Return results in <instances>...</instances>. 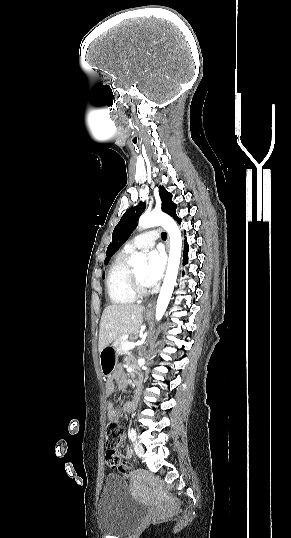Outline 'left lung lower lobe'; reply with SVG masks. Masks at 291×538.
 Listing matches in <instances>:
<instances>
[{"mask_svg":"<svg viewBox=\"0 0 291 538\" xmlns=\"http://www.w3.org/2000/svg\"><path fill=\"white\" fill-rule=\"evenodd\" d=\"M176 220L178 221V223H181V219L180 218H176ZM188 262V244L187 242L185 241V245H184V256H183V265L187 264Z\"/></svg>","mask_w":291,"mask_h":538,"instance_id":"left-lung-lower-lobe-1","label":"left lung lower lobe"}]
</instances>
